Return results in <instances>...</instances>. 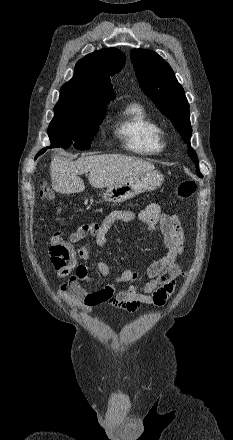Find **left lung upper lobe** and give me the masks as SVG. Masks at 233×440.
Listing matches in <instances>:
<instances>
[{
  "label": "left lung upper lobe",
  "mask_w": 233,
  "mask_h": 440,
  "mask_svg": "<svg viewBox=\"0 0 233 440\" xmlns=\"http://www.w3.org/2000/svg\"><path fill=\"white\" fill-rule=\"evenodd\" d=\"M130 56L142 91L171 120L188 145V154L199 173L198 158L190 146L189 104L173 70L161 56L150 50L133 49Z\"/></svg>",
  "instance_id": "left-lung-upper-lobe-1"
}]
</instances>
